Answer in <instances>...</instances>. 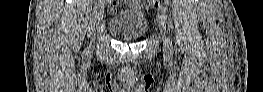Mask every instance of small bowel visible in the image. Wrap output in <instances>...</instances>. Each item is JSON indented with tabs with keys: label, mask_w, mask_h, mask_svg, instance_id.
Here are the masks:
<instances>
[{
	"label": "small bowel",
	"mask_w": 263,
	"mask_h": 92,
	"mask_svg": "<svg viewBox=\"0 0 263 92\" xmlns=\"http://www.w3.org/2000/svg\"><path fill=\"white\" fill-rule=\"evenodd\" d=\"M146 2L147 1H142V0L134 1V3L137 5V7H141V8L145 7Z\"/></svg>",
	"instance_id": "small-bowel-1"
}]
</instances>
